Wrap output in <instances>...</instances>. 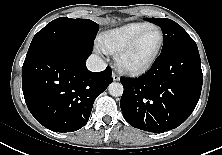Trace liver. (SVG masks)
<instances>
[{
    "instance_id": "1",
    "label": "liver",
    "mask_w": 222,
    "mask_h": 155,
    "mask_svg": "<svg viewBox=\"0 0 222 155\" xmlns=\"http://www.w3.org/2000/svg\"><path fill=\"white\" fill-rule=\"evenodd\" d=\"M112 22H113V23H115V22H116V20H115V19H113V20H112Z\"/></svg>"
}]
</instances>
